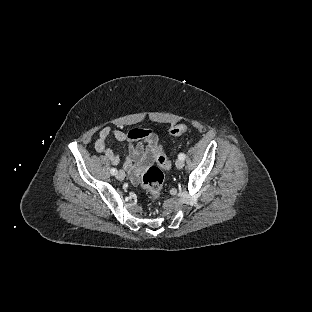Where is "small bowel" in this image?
<instances>
[{"label":"small bowel","instance_id":"c3829d8e","mask_svg":"<svg viewBox=\"0 0 312 312\" xmlns=\"http://www.w3.org/2000/svg\"><path fill=\"white\" fill-rule=\"evenodd\" d=\"M112 135L117 141L128 144V155L122 162L123 169L128 173L132 184L140 182L141 173L148 168L160 153H163V144L159 136L148 129L135 128L128 132L112 130L105 126L99 131L95 142V150L104 154L112 164L121 163L120 156L107 147L106 140Z\"/></svg>","mask_w":312,"mask_h":312}]
</instances>
